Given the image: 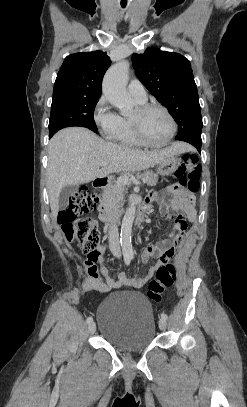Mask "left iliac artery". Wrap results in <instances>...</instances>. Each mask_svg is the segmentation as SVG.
I'll list each match as a JSON object with an SVG mask.
<instances>
[{"label": "left iliac artery", "instance_id": "obj_1", "mask_svg": "<svg viewBox=\"0 0 247 407\" xmlns=\"http://www.w3.org/2000/svg\"><path fill=\"white\" fill-rule=\"evenodd\" d=\"M161 318L164 319V320H167V319H168V316H167V314L162 313V314H161Z\"/></svg>", "mask_w": 247, "mask_h": 407}]
</instances>
